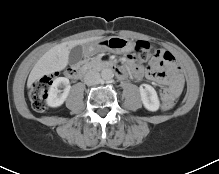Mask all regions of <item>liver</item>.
<instances>
[{
  "label": "liver",
  "mask_w": 219,
  "mask_h": 174,
  "mask_svg": "<svg viewBox=\"0 0 219 174\" xmlns=\"http://www.w3.org/2000/svg\"><path fill=\"white\" fill-rule=\"evenodd\" d=\"M100 39H102V37H91L86 39L68 41L56 45L48 50L37 61V63L31 70L27 81L28 88H30L31 85L42 76L49 75L65 69V67L68 65L70 50L73 47Z\"/></svg>",
  "instance_id": "obj_1"
}]
</instances>
